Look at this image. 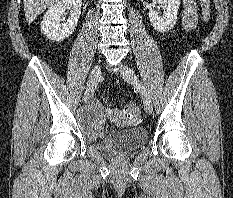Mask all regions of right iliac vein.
<instances>
[{
  "label": "right iliac vein",
  "mask_w": 233,
  "mask_h": 198,
  "mask_svg": "<svg viewBox=\"0 0 233 198\" xmlns=\"http://www.w3.org/2000/svg\"><path fill=\"white\" fill-rule=\"evenodd\" d=\"M100 75H101L100 65H96L92 69L88 78L87 87L84 93L85 102H89L93 97Z\"/></svg>",
  "instance_id": "right-iliac-vein-1"
}]
</instances>
